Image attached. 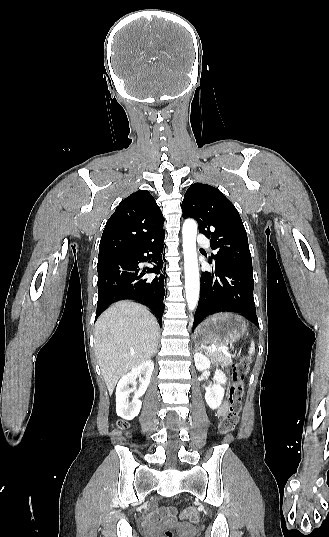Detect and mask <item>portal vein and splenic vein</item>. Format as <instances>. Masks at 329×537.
Returning a JSON list of instances; mask_svg holds the SVG:
<instances>
[{
	"label": "portal vein and splenic vein",
	"mask_w": 329,
	"mask_h": 537,
	"mask_svg": "<svg viewBox=\"0 0 329 537\" xmlns=\"http://www.w3.org/2000/svg\"><path fill=\"white\" fill-rule=\"evenodd\" d=\"M229 348L227 346H224V347H216V346H212V347H209L208 351L210 352H213V351H216V350H220V351H226L228 350Z\"/></svg>",
	"instance_id": "obj_1"
}]
</instances>
